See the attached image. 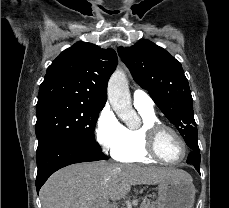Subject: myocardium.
Listing matches in <instances>:
<instances>
[{
	"label": "myocardium",
	"mask_w": 229,
	"mask_h": 208,
	"mask_svg": "<svg viewBox=\"0 0 229 208\" xmlns=\"http://www.w3.org/2000/svg\"><path fill=\"white\" fill-rule=\"evenodd\" d=\"M164 130H170L169 133L171 135V139H174V142L178 143V147H185V154L181 159L162 160V157L159 156L160 152H156V147H157L156 139L160 138V135ZM145 135H146L148 143L144 144V147H145L144 152L150 153L149 154L150 158H157L159 161L163 163L176 165V164H180L184 162L189 155L190 146L188 144V141L182 135V133L173 126L164 124L162 122L150 123L146 125L145 127Z\"/></svg>",
	"instance_id": "obj_1"
}]
</instances>
